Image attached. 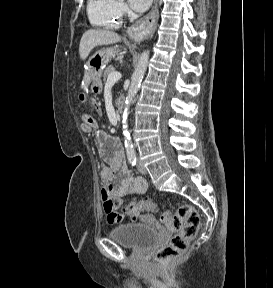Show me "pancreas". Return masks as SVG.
Segmentation results:
<instances>
[{
  "label": "pancreas",
  "instance_id": "pancreas-1",
  "mask_svg": "<svg viewBox=\"0 0 273 288\" xmlns=\"http://www.w3.org/2000/svg\"><path fill=\"white\" fill-rule=\"evenodd\" d=\"M115 72V68L113 66L107 67L103 72V81L106 82L107 77L110 73Z\"/></svg>",
  "mask_w": 273,
  "mask_h": 288
}]
</instances>
